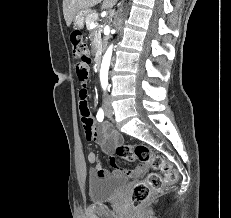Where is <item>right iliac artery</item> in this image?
<instances>
[{
	"label": "right iliac artery",
	"mask_w": 231,
	"mask_h": 218,
	"mask_svg": "<svg viewBox=\"0 0 231 218\" xmlns=\"http://www.w3.org/2000/svg\"><path fill=\"white\" fill-rule=\"evenodd\" d=\"M104 119V112H103V109H99L98 113H97V120L99 122H102Z\"/></svg>",
	"instance_id": "82829eb1"
}]
</instances>
